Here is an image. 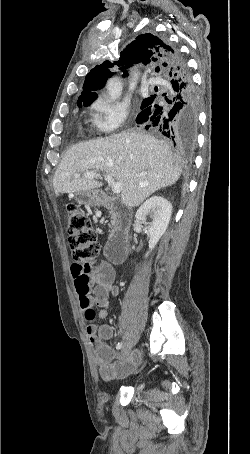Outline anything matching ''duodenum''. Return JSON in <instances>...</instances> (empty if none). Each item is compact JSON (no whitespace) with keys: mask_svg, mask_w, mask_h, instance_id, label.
Instances as JSON below:
<instances>
[{"mask_svg":"<svg viewBox=\"0 0 250 454\" xmlns=\"http://www.w3.org/2000/svg\"><path fill=\"white\" fill-rule=\"evenodd\" d=\"M98 204L110 208L114 220L112 233L106 247L107 258L114 264H121L126 258L128 228L132 214L125 206L113 205L112 198L105 194H100Z\"/></svg>","mask_w":250,"mask_h":454,"instance_id":"duodenum-1","label":"duodenum"}]
</instances>
